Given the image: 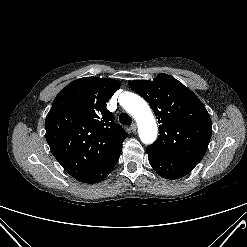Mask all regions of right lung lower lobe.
Segmentation results:
<instances>
[{
	"mask_svg": "<svg viewBox=\"0 0 247 247\" xmlns=\"http://www.w3.org/2000/svg\"><path fill=\"white\" fill-rule=\"evenodd\" d=\"M120 152H118L116 155H114L111 159H109L107 162L102 164L100 167L92 171L91 173L85 175L84 177L78 179V181L83 183H97L102 181L107 177V175L113 170L114 166L116 165Z\"/></svg>",
	"mask_w": 247,
	"mask_h": 247,
	"instance_id": "98d812e1",
	"label": "right lung lower lobe"
}]
</instances>
